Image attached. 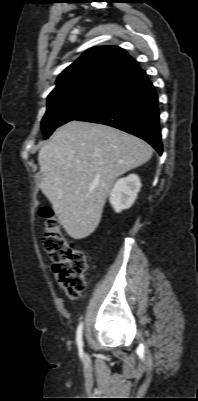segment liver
<instances>
[{"label": "liver", "instance_id": "liver-1", "mask_svg": "<svg viewBox=\"0 0 198 401\" xmlns=\"http://www.w3.org/2000/svg\"><path fill=\"white\" fill-rule=\"evenodd\" d=\"M144 140L119 129L70 121L40 149V188L67 234L83 239L101 220L114 181L152 157Z\"/></svg>", "mask_w": 198, "mask_h": 401}]
</instances>
